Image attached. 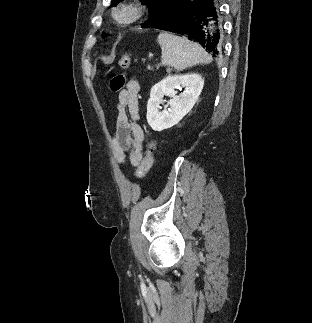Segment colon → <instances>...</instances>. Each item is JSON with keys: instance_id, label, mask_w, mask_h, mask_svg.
Instances as JSON below:
<instances>
[{"instance_id": "colon-1", "label": "colon", "mask_w": 312, "mask_h": 323, "mask_svg": "<svg viewBox=\"0 0 312 323\" xmlns=\"http://www.w3.org/2000/svg\"><path fill=\"white\" fill-rule=\"evenodd\" d=\"M118 65L121 69H128L130 66V57L128 54H122L119 57ZM125 77L122 73L114 74L109 80L108 87L113 94H117L124 89ZM154 151L155 147L152 142L147 145L145 155L142 159L141 164L138 166L136 171V177L139 179L144 178L149 170L151 169L154 162Z\"/></svg>"}]
</instances>
